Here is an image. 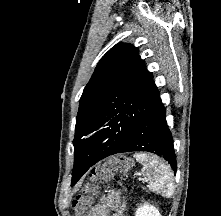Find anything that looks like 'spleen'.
Listing matches in <instances>:
<instances>
[{"label": "spleen", "instance_id": "3e777b00", "mask_svg": "<svg viewBox=\"0 0 221 216\" xmlns=\"http://www.w3.org/2000/svg\"><path fill=\"white\" fill-rule=\"evenodd\" d=\"M135 159L142 164V174L149 181V189L165 198L174 192V175L170 166L156 155L138 153Z\"/></svg>", "mask_w": 221, "mask_h": 216}]
</instances>
